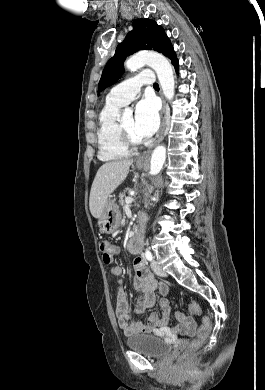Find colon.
Listing matches in <instances>:
<instances>
[{"label": "colon", "instance_id": "1", "mask_svg": "<svg viewBox=\"0 0 265 390\" xmlns=\"http://www.w3.org/2000/svg\"><path fill=\"white\" fill-rule=\"evenodd\" d=\"M99 248L102 254V260L105 264H110L114 257V247L109 240H101ZM188 311L195 315H200L202 310L198 304L191 303L188 305ZM211 323L207 317L203 318L202 324L197 331L196 338L192 341L190 345V352L196 351L200 345L209 337L211 333Z\"/></svg>", "mask_w": 265, "mask_h": 390}]
</instances>
